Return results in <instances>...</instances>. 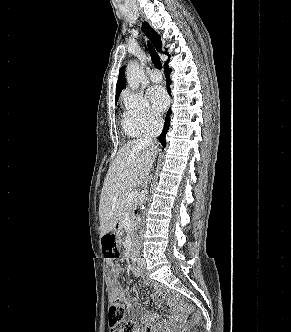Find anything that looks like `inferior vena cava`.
<instances>
[{"label":"inferior vena cava","instance_id":"1","mask_svg":"<svg viewBox=\"0 0 291 332\" xmlns=\"http://www.w3.org/2000/svg\"><path fill=\"white\" fill-rule=\"evenodd\" d=\"M163 120L156 118L153 119L148 132L140 139L141 143L145 144L146 146H153L154 140L161 134L163 130Z\"/></svg>","mask_w":291,"mask_h":332}]
</instances>
